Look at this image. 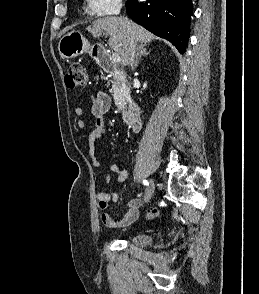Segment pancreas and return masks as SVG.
<instances>
[{
    "mask_svg": "<svg viewBox=\"0 0 259 294\" xmlns=\"http://www.w3.org/2000/svg\"><path fill=\"white\" fill-rule=\"evenodd\" d=\"M111 90L116 106L121 109L125 104V98L129 94V88L125 80L123 78L114 77Z\"/></svg>",
    "mask_w": 259,
    "mask_h": 294,
    "instance_id": "pancreas-1",
    "label": "pancreas"
}]
</instances>
